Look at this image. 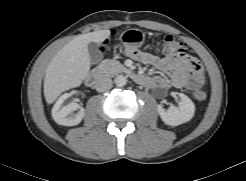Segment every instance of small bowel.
I'll list each match as a JSON object with an SVG mask.
<instances>
[{
    "label": "small bowel",
    "instance_id": "obj_1",
    "mask_svg": "<svg viewBox=\"0 0 246 181\" xmlns=\"http://www.w3.org/2000/svg\"><path fill=\"white\" fill-rule=\"evenodd\" d=\"M125 54L141 63L150 64L163 72H169V77L153 76L149 77V81L145 84L148 87H175V88H190L201 86V80H197L192 69L191 63L198 61L193 56L184 52L167 56L164 58L154 57L135 48L125 50Z\"/></svg>",
    "mask_w": 246,
    "mask_h": 181
}]
</instances>
